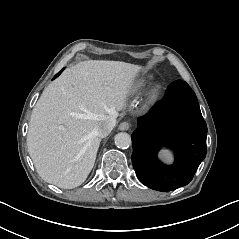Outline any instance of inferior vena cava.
I'll return each mask as SVG.
<instances>
[{"label": "inferior vena cava", "mask_w": 239, "mask_h": 239, "mask_svg": "<svg viewBox=\"0 0 239 239\" xmlns=\"http://www.w3.org/2000/svg\"><path fill=\"white\" fill-rule=\"evenodd\" d=\"M116 117H110L106 121H104L101 126L97 130V136L100 138H104L110 134V132L113 130V128L116 125Z\"/></svg>", "instance_id": "obj_1"}]
</instances>
